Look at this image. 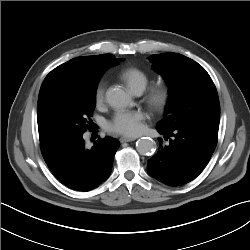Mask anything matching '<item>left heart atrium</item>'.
<instances>
[{
  "label": "left heart atrium",
  "instance_id": "obj_1",
  "mask_svg": "<svg viewBox=\"0 0 250 250\" xmlns=\"http://www.w3.org/2000/svg\"><path fill=\"white\" fill-rule=\"evenodd\" d=\"M146 118L147 114L143 111L121 110L109 121L108 128L126 137H135L143 131V122Z\"/></svg>",
  "mask_w": 250,
  "mask_h": 250
}]
</instances>
